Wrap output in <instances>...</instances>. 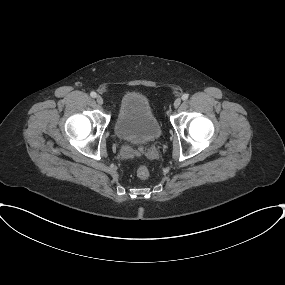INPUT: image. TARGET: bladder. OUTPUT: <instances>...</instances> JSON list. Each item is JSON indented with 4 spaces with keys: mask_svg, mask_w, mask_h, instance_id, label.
<instances>
[{
    "mask_svg": "<svg viewBox=\"0 0 285 285\" xmlns=\"http://www.w3.org/2000/svg\"><path fill=\"white\" fill-rule=\"evenodd\" d=\"M114 130L119 139L137 145L154 142L161 135V126L148 98L135 91L123 96Z\"/></svg>",
    "mask_w": 285,
    "mask_h": 285,
    "instance_id": "obj_1",
    "label": "bladder"
}]
</instances>
